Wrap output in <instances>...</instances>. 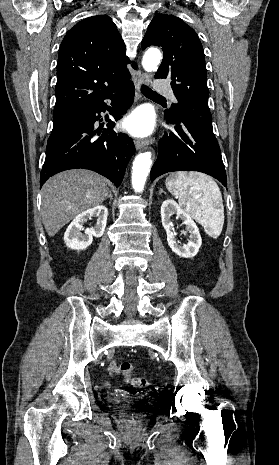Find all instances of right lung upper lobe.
<instances>
[{
	"instance_id": "1",
	"label": "right lung upper lobe",
	"mask_w": 279,
	"mask_h": 465,
	"mask_svg": "<svg viewBox=\"0 0 279 465\" xmlns=\"http://www.w3.org/2000/svg\"><path fill=\"white\" fill-rule=\"evenodd\" d=\"M125 50L106 15L84 19L69 30L59 49L53 126L74 120L84 108L130 81Z\"/></svg>"
}]
</instances>
